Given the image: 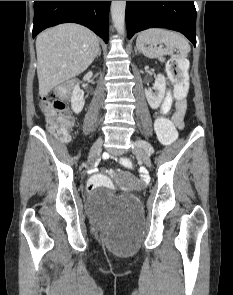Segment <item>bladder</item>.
<instances>
[{
    "mask_svg": "<svg viewBox=\"0 0 233 295\" xmlns=\"http://www.w3.org/2000/svg\"><path fill=\"white\" fill-rule=\"evenodd\" d=\"M87 209L94 216L115 215L120 213H140L141 206L138 199L131 195L100 199L91 195L86 203Z\"/></svg>",
    "mask_w": 233,
    "mask_h": 295,
    "instance_id": "bladder-1",
    "label": "bladder"
}]
</instances>
